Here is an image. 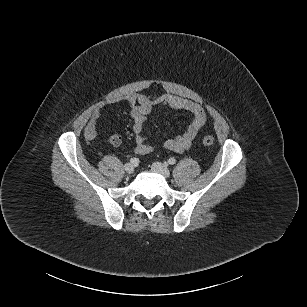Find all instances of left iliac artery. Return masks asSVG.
I'll use <instances>...</instances> for the list:
<instances>
[{"instance_id": "44dca946", "label": "left iliac artery", "mask_w": 307, "mask_h": 307, "mask_svg": "<svg viewBox=\"0 0 307 307\" xmlns=\"http://www.w3.org/2000/svg\"><path fill=\"white\" fill-rule=\"evenodd\" d=\"M168 163H169L170 165H173V164L176 163V159H175V158H170V159L168 160Z\"/></svg>"}]
</instances>
